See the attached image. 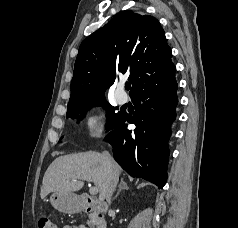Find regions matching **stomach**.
Here are the masks:
<instances>
[{"mask_svg":"<svg viewBox=\"0 0 238 228\" xmlns=\"http://www.w3.org/2000/svg\"><path fill=\"white\" fill-rule=\"evenodd\" d=\"M50 202L55 209L64 213H74L81 209L79 197L72 192H54Z\"/></svg>","mask_w":238,"mask_h":228,"instance_id":"stomach-1","label":"stomach"}]
</instances>
